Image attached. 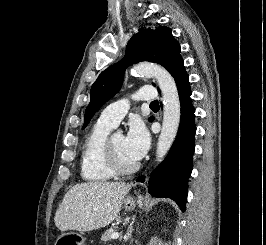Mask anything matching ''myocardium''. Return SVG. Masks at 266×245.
<instances>
[{"label":"myocardium","mask_w":266,"mask_h":245,"mask_svg":"<svg viewBox=\"0 0 266 245\" xmlns=\"http://www.w3.org/2000/svg\"><path fill=\"white\" fill-rule=\"evenodd\" d=\"M111 139L112 136H107L103 148V159L107 169L110 171L111 174L117 177L128 176L135 173L139 168V164L135 162L132 166L128 168L121 167L115 158L111 145Z\"/></svg>","instance_id":"f54148a6"}]
</instances>
